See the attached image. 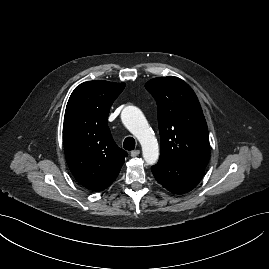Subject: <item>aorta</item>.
Listing matches in <instances>:
<instances>
[{
  "mask_svg": "<svg viewBox=\"0 0 269 269\" xmlns=\"http://www.w3.org/2000/svg\"><path fill=\"white\" fill-rule=\"evenodd\" d=\"M121 119L140 142L145 162L154 165L159 158L158 142L142 111L135 106H127L121 113Z\"/></svg>",
  "mask_w": 269,
  "mask_h": 269,
  "instance_id": "1",
  "label": "aorta"
}]
</instances>
